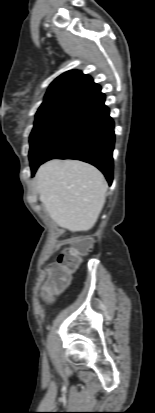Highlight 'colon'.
I'll return each mask as SVG.
<instances>
[{
	"label": "colon",
	"mask_w": 155,
	"mask_h": 413,
	"mask_svg": "<svg viewBox=\"0 0 155 413\" xmlns=\"http://www.w3.org/2000/svg\"><path fill=\"white\" fill-rule=\"evenodd\" d=\"M91 247L90 240H76L62 251L56 264L50 269L49 293L51 296L62 290L70 275L76 270L81 258L89 253Z\"/></svg>",
	"instance_id": "1"
}]
</instances>
